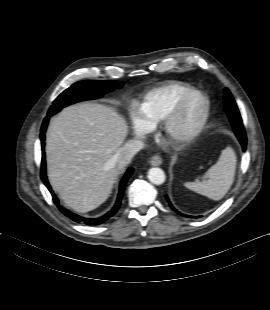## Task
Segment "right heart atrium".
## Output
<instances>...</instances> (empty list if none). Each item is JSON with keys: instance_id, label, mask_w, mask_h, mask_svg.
<instances>
[{"instance_id": "1", "label": "right heart atrium", "mask_w": 270, "mask_h": 310, "mask_svg": "<svg viewBox=\"0 0 270 310\" xmlns=\"http://www.w3.org/2000/svg\"><path fill=\"white\" fill-rule=\"evenodd\" d=\"M130 121L132 125V130L135 135L141 136L150 131V128L144 124L142 121L139 112L135 108L130 110Z\"/></svg>"}]
</instances>
